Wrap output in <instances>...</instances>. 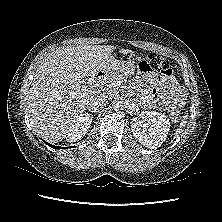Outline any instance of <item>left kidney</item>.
Segmentation results:
<instances>
[{
	"mask_svg": "<svg viewBox=\"0 0 222 222\" xmlns=\"http://www.w3.org/2000/svg\"><path fill=\"white\" fill-rule=\"evenodd\" d=\"M133 136L145 147L154 149L166 140L170 121L166 115L155 111H143L131 121Z\"/></svg>",
	"mask_w": 222,
	"mask_h": 222,
	"instance_id": "1",
	"label": "left kidney"
}]
</instances>
